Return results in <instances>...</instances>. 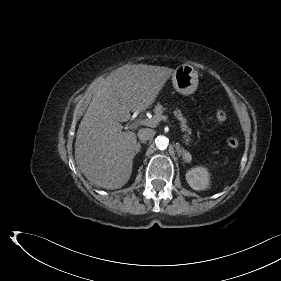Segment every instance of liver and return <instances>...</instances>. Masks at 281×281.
Here are the masks:
<instances>
[{"label":"liver","instance_id":"6515ba94","mask_svg":"<svg viewBox=\"0 0 281 281\" xmlns=\"http://www.w3.org/2000/svg\"><path fill=\"white\" fill-rule=\"evenodd\" d=\"M173 69L126 65L98 80L76 135L75 159L95 186L119 189L130 179L137 137L122 131L130 111L143 112L154 102Z\"/></svg>","mask_w":281,"mask_h":281}]
</instances>
